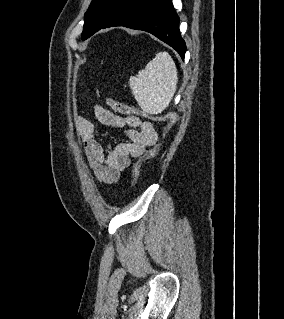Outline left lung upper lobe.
Wrapping results in <instances>:
<instances>
[{
	"label": "left lung upper lobe",
	"mask_w": 284,
	"mask_h": 319,
	"mask_svg": "<svg viewBox=\"0 0 284 319\" xmlns=\"http://www.w3.org/2000/svg\"><path fill=\"white\" fill-rule=\"evenodd\" d=\"M124 0H92L85 13V24L82 40L99 31L115 14Z\"/></svg>",
	"instance_id": "1"
}]
</instances>
